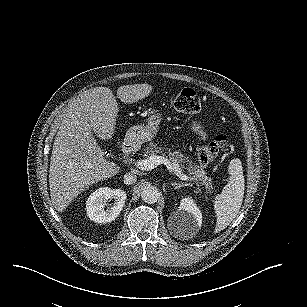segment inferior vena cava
Returning <instances> with one entry per match:
<instances>
[{"instance_id":"obj_1","label":"inferior vena cava","mask_w":307,"mask_h":307,"mask_svg":"<svg viewBox=\"0 0 307 307\" xmlns=\"http://www.w3.org/2000/svg\"><path fill=\"white\" fill-rule=\"evenodd\" d=\"M136 180H137V176L133 173L128 172L124 175V184L126 185L134 184Z\"/></svg>"}]
</instances>
